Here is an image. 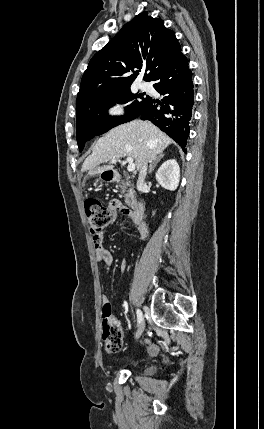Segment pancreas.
Instances as JSON below:
<instances>
[{"instance_id":"1","label":"pancreas","mask_w":264,"mask_h":429,"mask_svg":"<svg viewBox=\"0 0 264 429\" xmlns=\"http://www.w3.org/2000/svg\"><path fill=\"white\" fill-rule=\"evenodd\" d=\"M119 189L124 194L125 203L129 206L132 205L134 203V190L131 182L128 180L120 181Z\"/></svg>"}]
</instances>
